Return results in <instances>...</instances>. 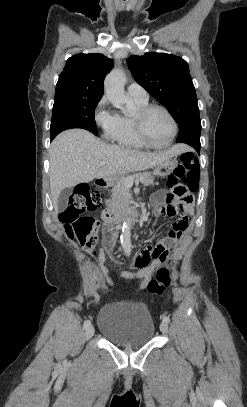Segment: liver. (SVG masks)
I'll list each match as a JSON object with an SVG mask.
<instances>
[{
  "instance_id": "liver-1",
  "label": "liver",
  "mask_w": 247,
  "mask_h": 407,
  "mask_svg": "<svg viewBox=\"0 0 247 407\" xmlns=\"http://www.w3.org/2000/svg\"><path fill=\"white\" fill-rule=\"evenodd\" d=\"M189 148L175 145L168 150L142 152L117 145H109L83 129L60 133L50 147V190L55 211L62 190L95 178L107 179L153 168L166 159ZM100 163H105L99 167Z\"/></svg>"
}]
</instances>
